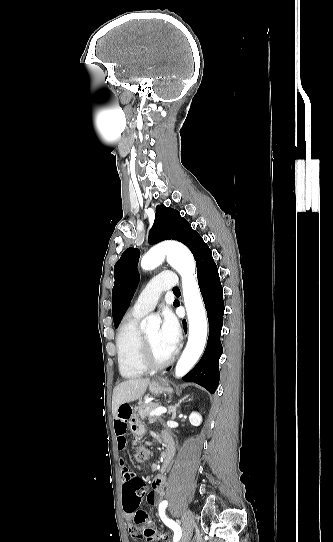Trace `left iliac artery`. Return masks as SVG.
<instances>
[{
  "label": "left iliac artery",
  "instance_id": "left-iliac-artery-1",
  "mask_svg": "<svg viewBox=\"0 0 333 542\" xmlns=\"http://www.w3.org/2000/svg\"><path fill=\"white\" fill-rule=\"evenodd\" d=\"M167 504L168 502L167 501H162L159 505V515L162 519V521L168 526L170 527L173 531H174V542H177L181 536H182V531H181V528L180 526L175 523L173 520H170L166 517L165 515V508L167 507Z\"/></svg>",
  "mask_w": 333,
  "mask_h": 542
}]
</instances>
